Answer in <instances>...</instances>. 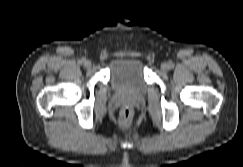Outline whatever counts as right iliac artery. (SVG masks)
I'll return each instance as SVG.
<instances>
[{
  "mask_svg": "<svg viewBox=\"0 0 243 167\" xmlns=\"http://www.w3.org/2000/svg\"><path fill=\"white\" fill-rule=\"evenodd\" d=\"M84 61H85V59L82 58V59L79 61V63H83Z\"/></svg>",
  "mask_w": 243,
  "mask_h": 167,
  "instance_id": "1",
  "label": "right iliac artery"
}]
</instances>
